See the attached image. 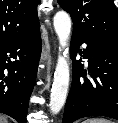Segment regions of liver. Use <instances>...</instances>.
Returning a JSON list of instances; mask_svg holds the SVG:
<instances>
[{"instance_id":"liver-1","label":"liver","mask_w":118,"mask_h":123,"mask_svg":"<svg viewBox=\"0 0 118 123\" xmlns=\"http://www.w3.org/2000/svg\"><path fill=\"white\" fill-rule=\"evenodd\" d=\"M0 123H8L6 117L0 115Z\"/></svg>"}]
</instances>
